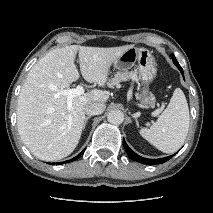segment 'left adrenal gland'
I'll return each mask as SVG.
<instances>
[{"label":"left adrenal gland","mask_w":213,"mask_h":213,"mask_svg":"<svg viewBox=\"0 0 213 213\" xmlns=\"http://www.w3.org/2000/svg\"><path fill=\"white\" fill-rule=\"evenodd\" d=\"M136 124H137V126H139V123H138V120L136 119Z\"/></svg>","instance_id":"obj_1"}]
</instances>
